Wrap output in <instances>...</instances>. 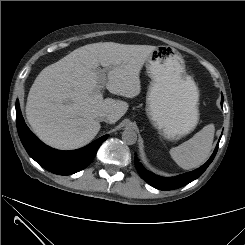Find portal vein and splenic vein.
Listing matches in <instances>:
<instances>
[{
  "label": "portal vein and splenic vein",
  "instance_id": "18ae733b",
  "mask_svg": "<svg viewBox=\"0 0 245 245\" xmlns=\"http://www.w3.org/2000/svg\"><path fill=\"white\" fill-rule=\"evenodd\" d=\"M105 85H106V77L105 74L103 73L101 74V78H100L99 90H102Z\"/></svg>",
  "mask_w": 245,
  "mask_h": 245
}]
</instances>
